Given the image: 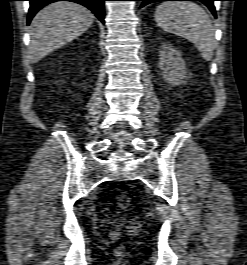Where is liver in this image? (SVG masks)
Here are the masks:
<instances>
[{"label": "liver", "instance_id": "1", "mask_svg": "<svg viewBox=\"0 0 247 265\" xmlns=\"http://www.w3.org/2000/svg\"><path fill=\"white\" fill-rule=\"evenodd\" d=\"M94 15L73 2H55L40 10L30 25L29 58L32 63L63 47L83 34Z\"/></svg>", "mask_w": 247, "mask_h": 265}]
</instances>
